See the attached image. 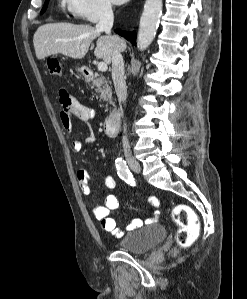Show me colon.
<instances>
[{
	"mask_svg": "<svg viewBox=\"0 0 247 299\" xmlns=\"http://www.w3.org/2000/svg\"><path fill=\"white\" fill-rule=\"evenodd\" d=\"M47 69L52 76L60 77L62 75L61 64L55 57H49L47 59ZM172 218L178 226L176 242L181 246L190 245L199 232L197 216L190 207L179 204L173 208Z\"/></svg>",
	"mask_w": 247,
	"mask_h": 299,
	"instance_id": "1",
	"label": "colon"
}]
</instances>
